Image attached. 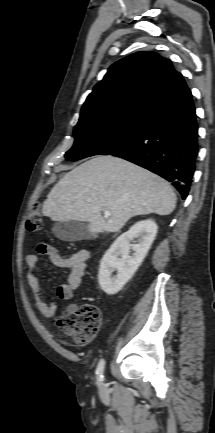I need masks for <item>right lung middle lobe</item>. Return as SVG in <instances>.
I'll list each match as a JSON object with an SVG mask.
<instances>
[{
	"mask_svg": "<svg viewBox=\"0 0 215 433\" xmlns=\"http://www.w3.org/2000/svg\"><path fill=\"white\" fill-rule=\"evenodd\" d=\"M144 115H123L107 119L78 122L75 142L66 152V160L77 161L94 155L108 154L130 143L138 134Z\"/></svg>",
	"mask_w": 215,
	"mask_h": 433,
	"instance_id": "1",
	"label": "right lung middle lobe"
}]
</instances>
